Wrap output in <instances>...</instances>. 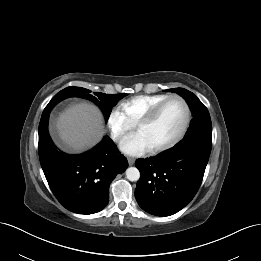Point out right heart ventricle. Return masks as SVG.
Masks as SVG:
<instances>
[{
    "label": "right heart ventricle",
    "instance_id": "obj_1",
    "mask_svg": "<svg viewBox=\"0 0 261 261\" xmlns=\"http://www.w3.org/2000/svg\"><path fill=\"white\" fill-rule=\"evenodd\" d=\"M169 97L168 94L138 95L121 103V108L128 120L136 125L154 106Z\"/></svg>",
    "mask_w": 261,
    "mask_h": 261
}]
</instances>
